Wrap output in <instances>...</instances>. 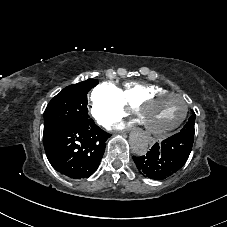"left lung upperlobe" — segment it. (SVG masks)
I'll use <instances>...</instances> for the list:
<instances>
[{
    "label": "left lung upper lobe",
    "instance_id": "1",
    "mask_svg": "<svg viewBox=\"0 0 227 227\" xmlns=\"http://www.w3.org/2000/svg\"><path fill=\"white\" fill-rule=\"evenodd\" d=\"M194 124H195V114H193L188 119V122L184 125V127L181 129L179 133L183 135L194 136V133H195Z\"/></svg>",
    "mask_w": 227,
    "mask_h": 227
}]
</instances>
